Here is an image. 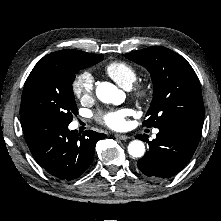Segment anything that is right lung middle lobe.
<instances>
[{
  "mask_svg": "<svg viewBox=\"0 0 221 221\" xmlns=\"http://www.w3.org/2000/svg\"><path fill=\"white\" fill-rule=\"evenodd\" d=\"M102 59L99 54L68 65L36 64L24 84L20 116L33 113L70 123L78 112L72 89L75 74Z\"/></svg>",
  "mask_w": 221,
  "mask_h": 221,
  "instance_id": "dd1d6c3e",
  "label": "right lung middle lobe"
}]
</instances>
